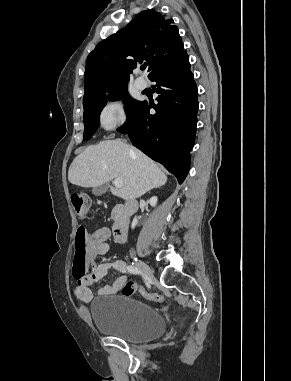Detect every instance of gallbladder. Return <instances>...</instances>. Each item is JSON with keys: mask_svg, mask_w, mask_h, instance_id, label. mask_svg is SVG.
I'll list each match as a JSON object with an SVG mask.
<instances>
[{"mask_svg": "<svg viewBox=\"0 0 291 381\" xmlns=\"http://www.w3.org/2000/svg\"><path fill=\"white\" fill-rule=\"evenodd\" d=\"M107 187H108V184H107V183H104V184H102V185H100V186H98V187H95V188L92 190V193H93L94 195H96V196H100V195H102V194L106 191Z\"/></svg>", "mask_w": 291, "mask_h": 381, "instance_id": "bac80fb5", "label": "gallbladder"}]
</instances>
